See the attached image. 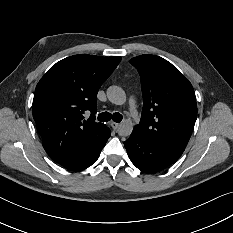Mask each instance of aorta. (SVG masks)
<instances>
[{
    "label": "aorta",
    "instance_id": "obj_1",
    "mask_svg": "<svg viewBox=\"0 0 233 233\" xmlns=\"http://www.w3.org/2000/svg\"><path fill=\"white\" fill-rule=\"evenodd\" d=\"M109 101L115 105L123 106L127 102V96L124 90L117 86L109 87L107 90ZM134 123L131 119H123L118 128V133L123 136H128L132 133Z\"/></svg>",
    "mask_w": 233,
    "mask_h": 233
}]
</instances>
